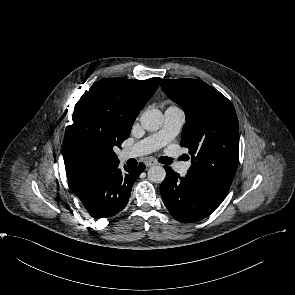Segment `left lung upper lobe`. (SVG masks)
<instances>
[{
    "instance_id": "5c2ea615",
    "label": "left lung upper lobe",
    "mask_w": 295,
    "mask_h": 295,
    "mask_svg": "<svg viewBox=\"0 0 295 295\" xmlns=\"http://www.w3.org/2000/svg\"><path fill=\"white\" fill-rule=\"evenodd\" d=\"M161 87L185 112L181 145L192 154L187 176L213 197L224 200L239 152V124L232 103L201 80L162 79Z\"/></svg>"
}]
</instances>
